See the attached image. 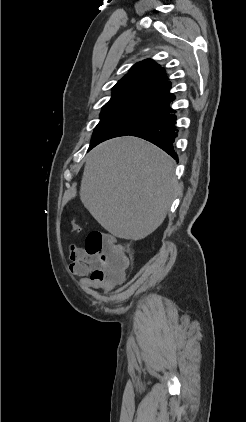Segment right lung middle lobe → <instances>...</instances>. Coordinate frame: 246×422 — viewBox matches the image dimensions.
I'll use <instances>...</instances> for the list:
<instances>
[{
	"instance_id": "right-lung-middle-lobe-1",
	"label": "right lung middle lobe",
	"mask_w": 246,
	"mask_h": 422,
	"mask_svg": "<svg viewBox=\"0 0 246 422\" xmlns=\"http://www.w3.org/2000/svg\"><path fill=\"white\" fill-rule=\"evenodd\" d=\"M162 115L160 109L138 107H103L100 122L94 129L89 150L118 136L129 135Z\"/></svg>"
}]
</instances>
